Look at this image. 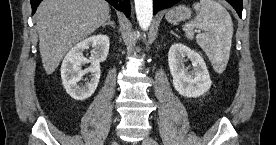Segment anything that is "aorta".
<instances>
[{
	"mask_svg": "<svg viewBox=\"0 0 276 145\" xmlns=\"http://www.w3.org/2000/svg\"><path fill=\"white\" fill-rule=\"evenodd\" d=\"M139 26L147 31L153 18V0H134Z\"/></svg>",
	"mask_w": 276,
	"mask_h": 145,
	"instance_id": "aorta-1",
	"label": "aorta"
}]
</instances>
